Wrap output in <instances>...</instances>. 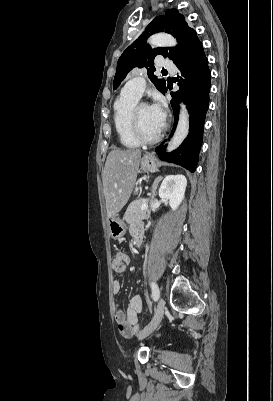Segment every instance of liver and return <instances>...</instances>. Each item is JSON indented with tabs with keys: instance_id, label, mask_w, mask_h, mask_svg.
<instances>
[{
	"instance_id": "1",
	"label": "liver",
	"mask_w": 273,
	"mask_h": 401,
	"mask_svg": "<svg viewBox=\"0 0 273 401\" xmlns=\"http://www.w3.org/2000/svg\"><path fill=\"white\" fill-rule=\"evenodd\" d=\"M140 158L139 148L109 152L103 170L107 217H114L126 205L135 184Z\"/></svg>"
}]
</instances>
